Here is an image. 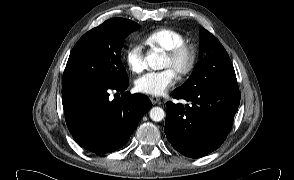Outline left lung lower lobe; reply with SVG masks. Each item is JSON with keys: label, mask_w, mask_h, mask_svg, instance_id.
<instances>
[{"label": "left lung lower lobe", "mask_w": 294, "mask_h": 180, "mask_svg": "<svg viewBox=\"0 0 294 180\" xmlns=\"http://www.w3.org/2000/svg\"><path fill=\"white\" fill-rule=\"evenodd\" d=\"M172 96L191 104L167 102L164 132L181 154L199 158L216 150L231 130L240 103L238 89L211 88L193 92L175 89Z\"/></svg>", "instance_id": "left-lung-lower-lobe-1"}]
</instances>
